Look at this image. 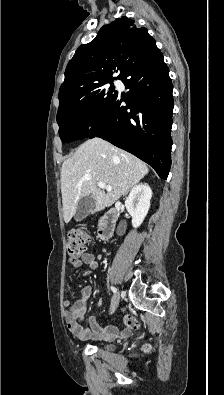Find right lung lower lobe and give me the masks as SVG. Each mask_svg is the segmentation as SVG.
Listing matches in <instances>:
<instances>
[{
  "instance_id": "98d812e1",
  "label": "right lung lower lobe",
  "mask_w": 224,
  "mask_h": 395,
  "mask_svg": "<svg viewBox=\"0 0 224 395\" xmlns=\"http://www.w3.org/2000/svg\"><path fill=\"white\" fill-rule=\"evenodd\" d=\"M121 79L130 89L127 98L117 92L87 136L101 137L134 154L167 179L171 166L173 85L162 53L157 47L145 53ZM122 101L126 106H121Z\"/></svg>"
}]
</instances>
